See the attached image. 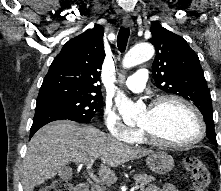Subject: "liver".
<instances>
[{
    "instance_id": "6515ba94",
    "label": "liver",
    "mask_w": 221,
    "mask_h": 191,
    "mask_svg": "<svg viewBox=\"0 0 221 191\" xmlns=\"http://www.w3.org/2000/svg\"><path fill=\"white\" fill-rule=\"evenodd\" d=\"M151 153L115 140L99 129L72 121L61 120L39 129L29 142L22 168L24 191L43 184L56 176L69 162H102L99 176L102 182L112 184L116 176L112 167Z\"/></svg>"
}]
</instances>
